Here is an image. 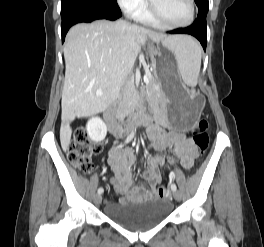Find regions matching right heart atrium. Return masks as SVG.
I'll list each match as a JSON object with an SVG mask.
<instances>
[{"instance_id":"d8ad5b80","label":"right heart atrium","mask_w":264,"mask_h":247,"mask_svg":"<svg viewBox=\"0 0 264 247\" xmlns=\"http://www.w3.org/2000/svg\"><path fill=\"white\" fill-rule=\"evenodd\" d=\"M117 3L128 14H135L146 6L145 0H117Z\"/></svg>"}]
</instances>
